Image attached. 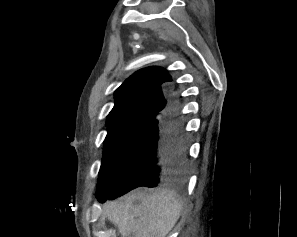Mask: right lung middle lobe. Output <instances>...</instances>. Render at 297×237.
I'll return each mask as SVG.
<instances>
[{
	"mask_svg": "<svg viewBox=\"0 0 297 237\" xmlns=\"http://www.w3.org/2000/svg\"><path fill=\"white\" fill-rule=\"evenodd\" d=\"M151 122L147 117H136L107 124L104 158L99 171L98 192L114 188L119 183L123 165Z\"/></svg>",
	"mask_w": 297,
	"mask_h": 237,
	"instance_id": "dd1d6c3e",
	"label": "right lung middle lobe"
}]
</instances>
